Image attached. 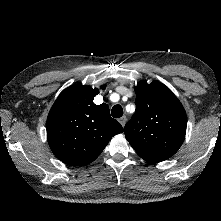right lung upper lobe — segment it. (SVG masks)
<instances>
[{
	"mask_svg": "<svg viewBox=\"0 0 221 221\" xmlns=\"http://www.w3.org/2000/svg\"><path fill=\"white\" fill-rule=\"evenodd\" d=\"M99 89L75 85L65 89L47 118V138L54 155L69 165L94 161L123 127L111 118L108 105H96Z\"/></svg>",
	"mask_w": 221,
	"mask_h": 221,
	"instance_id": "cb5924a9",
	"label": "right lung upper lobe"
}]
</instances>
